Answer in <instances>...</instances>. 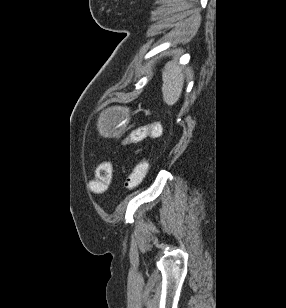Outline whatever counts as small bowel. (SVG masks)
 I'll return each instance as SVG.
<instances>
[{
	"label": "small bowel",
	"mask_w": 286,
	"mask_h": 308,
	"mask_svg": "<svg viewBox=\"0 0 286 308\" xmlns=\"http://www.w3.org/2000/svg\"><path fill=\"white\" fill-rule=\"evenodd\" d=\"M154 123H157V122H151V124H154Z\"/></svg>",
	"instance_id": "1"
}]
</instances>
